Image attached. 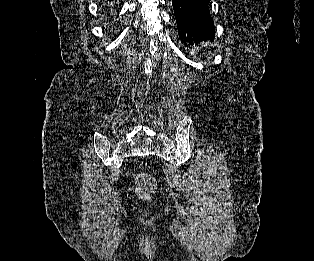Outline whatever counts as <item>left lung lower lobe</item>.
<instances>
[{
	"label": "left lung lower lobe",
	"mask_w": 314,
	"mask_h": 261,
	"mask_svg": "<svg viewBox=\"0 0 314 261\" xmlns=\"http://www.w3.org/2000/svg\"><path fill=\"white\" fill-rule=\"evenodd\" d=\"M208 3L209 0H172L181 41L191 44L214 38L215 28Z\"/></svg>",
	"instance_id": "0a47b994"
}]
</instances>
